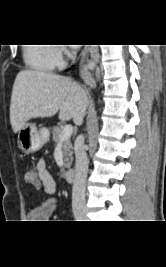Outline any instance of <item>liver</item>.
Masks as SVG:
<instances>
[{"mask_svg": "<svg viewBox=\"0 0 166 267\" xmlns=\"http://www.w3.org/2000/svg\"><path fill=\"white\" fill-rule=\"evenodd\" d=\"M88 98L86 92L69 77L54 73L24 70L14 81L10 122L14 133L32 118L52 117L82 123Z\"/></svg>", "mask_w": 166, "mask_h": 267, "instance_id": "1", "label": "liver"}]
</instances>
